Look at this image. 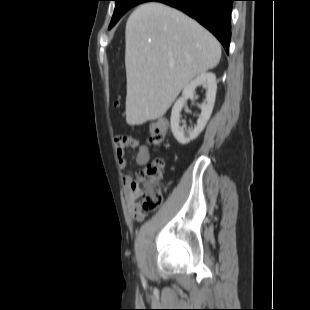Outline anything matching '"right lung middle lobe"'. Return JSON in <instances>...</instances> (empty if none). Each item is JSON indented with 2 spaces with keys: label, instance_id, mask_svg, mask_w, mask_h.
Masks as SVG:
<instances>
[{
  "label": "right lung middle lobe",
  "instance_id": "obj_1",
  "mask_svg": "<svg viewBox=\"0 0 310 310\" xmlns=\"http://www.w3.org/2000/svg\"><path fill=\"white\" fill-rule=\"evenodd\" d=\"M115 10L112 16V20L109 29L116 24V22L132 7L144 3L150 0H115Z\"/></svg>",
  "mask_w": 310,
  "mask_h": 310
}]
</instances>
